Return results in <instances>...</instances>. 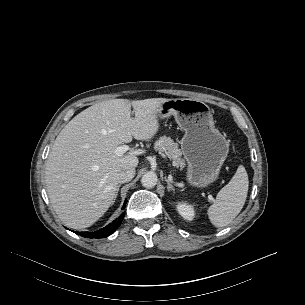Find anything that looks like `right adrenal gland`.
<instances>
[{
  "mask_svg": "<svg viewBox=\"0 0 305 305\" xmlns=\"http://www.w3.org/2000/svg\"><path fill=\"white\" fill-rule=\"evenodd\" d=\"M120 187H121V184H118V185H117V188H116V194H115V197H114V202H115V200H116V198H117V195H118V192H119Z\"/></svg>",
  "mask_w": 305,
  "mask_h": 305,
  "instance_id": "2a0ac1e0",
  "label": "right adrenal gland"
}]
</instances>
